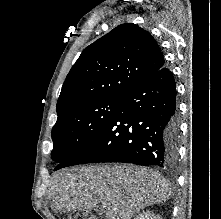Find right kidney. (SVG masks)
I'll return each instance as SVG.
<instances>
[{"instance_id": "ca27d5eb", "label": "right kidney", "mask_w": 221, "mask_h": 219, "mask_svg": "<svg viewBox=\"0 0 221 219\" xmlns=\"http://www.w3.org/2000/svg\"><path fill=\"white\" fill-rule=\"evenodd\" d=\"M134 219H162L159 215H155L153 212L146 210L136 216Z\"/></svg>"}]
</instances>
